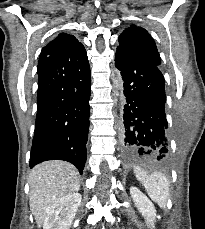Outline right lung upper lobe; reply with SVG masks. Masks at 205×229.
I'll return each instance as SVG.
<instances>
[{
  "label": "right lung upper lobe",
  "mask_w": 205,
  "mask_h": 229,
  "mask_svg": "<svg viewBox=\"0 0 205 229\" xmlns=\"http://www.w3.org/2000/svg\"><path fill=\"white\" fill-rule=\"evenodd\" d=\"M50 55L60 58L66 67L78 69L88 64L87 53L82 45L73 35L66 33L58 34L41 51L39 62L46 60Z\"/></svg>",
  "instance_id": "obj_1"
}]
</instances>
